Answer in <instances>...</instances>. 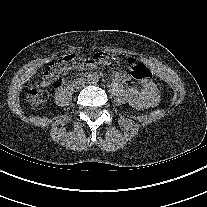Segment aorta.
Returning <instances> with one entry per match:
<instances>
[{"instance_id": "1", "label": "aorta", "mask_w": 207, "mask_h": 207, "mask_svg": "<svg viewBox=\"0 0 207 207\" xmlns=\"http://www.w3.org/2000/svg\"><path fill=\"white\" fill-rule=\"evenodd\" d=\"M87 81L90 84H96L99 81V75L97 72H91L87 75Z\"/></svg>"}]
</instances>
